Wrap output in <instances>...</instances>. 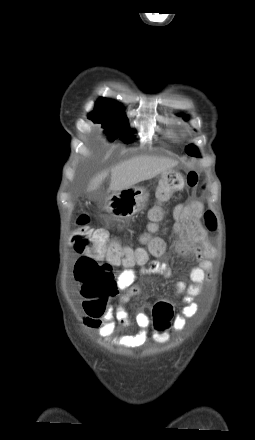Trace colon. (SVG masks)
Instances as JSON below:
<instances>
[{"instance_id": "colon-1", "label": "colon", "mask_w": 255, "mask_h": 440, "mask_svg": "<svg viewBox=\"0 0 255 440\" xmlns=\"http://www.w3.org/2000/svg\"><path fill=\"white\" fill-rule=\"evenodd\" d=\"M199 176L196 171H189L186 175L176 172L166 174L156 189V198L160 203L170 199L172 193L185 185L195 187ZM150 231L157 230V224L162 219L160 209H153L150 214ZM205 226L214 230L217 224L215 214L208 210L204 214ZM143 241L154 254H159L162 245L150 235H144ZM70 243L81 257L75 263V279L81 286L84 298V310L87 316L97 318L107 310V302L117 290L112 273L114 266L121 264L131 265L144 257V250L122 246L118 242H108V234L103 229L90 226L86 215L80 216L76 227L72 231ZM153 307L154 342H167L168 331L174 316L173 304L168 298H155Z\"/></svg>"}]
</instances>
